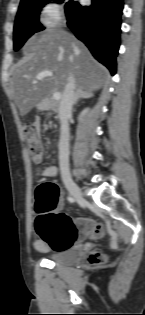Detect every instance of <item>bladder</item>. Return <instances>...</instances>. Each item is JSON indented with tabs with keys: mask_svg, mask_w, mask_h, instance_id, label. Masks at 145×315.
I'll list each match as a JSON object with an SVG mask.
<instances>
[{
	"mask_svg": "<svg viewBox=\"0 0 145 315\" xmlns=\"http://www.w3.org/2000/svg\"><path fill=\"white\" fill-rule=\"evenodd\" d=\"M50 260L56 264L61 266H73L79 261V248H63L55 251Z\"/></svg>",
	"mask_w": 145,
	"mask_h": 315,
	"instance_id": "1",
	"label": "bladder"
}]
</instances>
